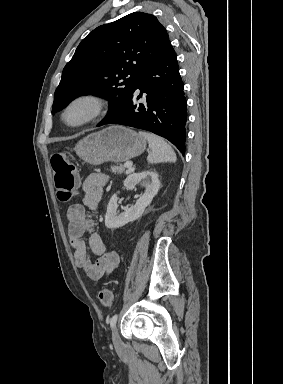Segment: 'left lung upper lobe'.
Instances as JSON below:
<instances>
[{"label":"left lung upper lobe","instance_id":"5c2ea615","mask_svg":"<svg viewBox=\"0 0 283 384\" xmlns=\"http://www.w3.org/2000/svg\"><path fill=\"white\" fill-rule=\"evenodd\" d=\"M168 44L165 28L152 14L134 12L97 27L64 67L52 114L80 95L94 94L110 101L100 123L108 121L126 107L137 80Z\"/></svg>","mask_w":283,"mask_h":384}]
</instances>
